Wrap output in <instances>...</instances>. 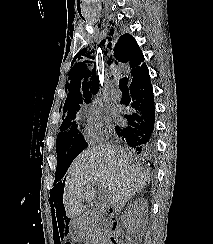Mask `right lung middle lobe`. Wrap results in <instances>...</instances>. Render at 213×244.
<instances>
[{
	"label": "right lung middle lobe",
	"instance_id": "right-lung-middle-lobe-1",
	"mask_svg": "<svg viewBox=\"0 0 213 244\" xmlns=\"http://www.w3.org/2000/svg\"><path fill=\"white\" fill-rule=\"evenodd\" d=\"M80 106H73L63 112L60 133L57 136V168L55 182H58L66 173L73 159L86 147L83 135L79 131Z\"/></svg>",
	"mask_w": 213,
	"mask_h": 244
}]
</instances>
